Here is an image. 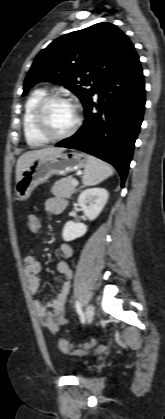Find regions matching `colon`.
<instances>
[{"instance_id":"obj_1","label":"colon","mask_w":165,"mask_h":419,"mask_svg":"<svg viewBox=\"0 0 165 419\" xmlns=\"http://www.w3.org/2000/svg\"><path fill=\"white\" fill-rule=\"evenodd\" d=\"M39 227H40V221H39L38 217L34 216V215H31L28 219L29 230L31 232H37L39 230ZM93 345H94V341L84 343V344H80V345H77V346L72 345L71 343H69L65 339H60L58 341V347H59L60 351H62L63 353L69 354V355H79V354L91 349Z\"/></svg>"}]
</instances>
